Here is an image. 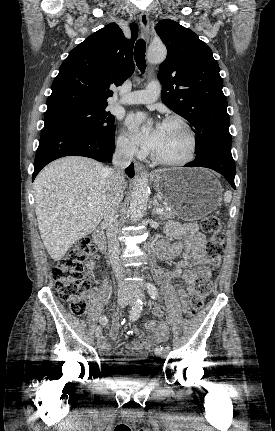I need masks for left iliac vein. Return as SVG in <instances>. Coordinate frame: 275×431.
Listing matches in <instances>:
<instances>
[{"label": "left iliac vein", "mask_w": 275, "mask_h": 431, "mask_svg": "<svg viewBox=\"0 0 275 431\" xmlns=\"http://www.w3.org/2000/svg\"><path fill=\"white\" fill-rule=\"evenodd\" d=\"M138 298L143 299L144 298V294L142 292H135V293H133L131 295V299H132L131 303H133ZM169 352H170V348L166 347L165 349H163V351L161 353V357L162 358H166L167 355L169 354Z\"/></svg>", "instance_id": "obj_1"}]
</instances>
